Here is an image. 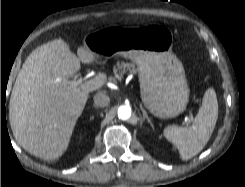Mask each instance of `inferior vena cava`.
Masks as SVG:
<instances>
[{"label": "inferior vena cava", "mask_w": 245, "mask_h": 187, "mask_svg": "<svg viewBox=\"0 0 245 187\" xmlns=\"http://www.w3.org/2000/svg\"><path fill=\"white\" fill-rule=\"evenodd\" d=\"M110 98L104 93H97L94 95V103L98 107H106L109 105Z\"/></svg>", "instance_id": "inferior-vena-cava-1"}]
</instances>
